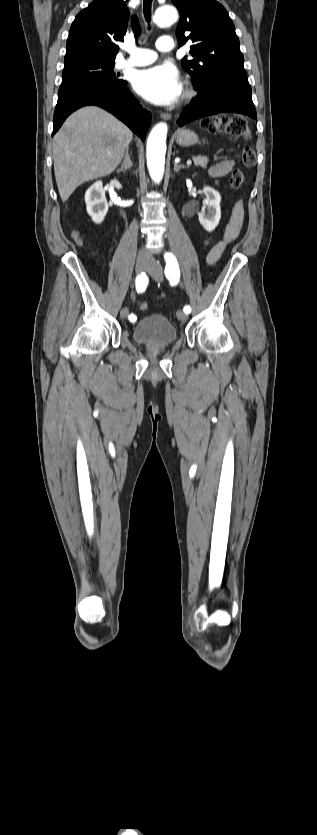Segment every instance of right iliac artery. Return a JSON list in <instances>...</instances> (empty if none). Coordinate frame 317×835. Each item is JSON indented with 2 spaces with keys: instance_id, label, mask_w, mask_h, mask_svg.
Wrapping results in <instances>:
<instances>
[{
  "instance_id": "1",
  "label": "right iliac artery",
  "mask_w": 317,
  "mask_h": 835,
  "mask_svg": "<svg viewBox=\"0 0 317 835\" xmlns=\"http://www.w3.org/2000/svg\"><path fill=\"white\" fill-rule=\"evenodd\" d=\"M136 291L138 293H143L148 285V278L145 273H141L136 277ZM129 320H135V316L133 314L128 316Z\"/></svg>"
}]
</instances>
